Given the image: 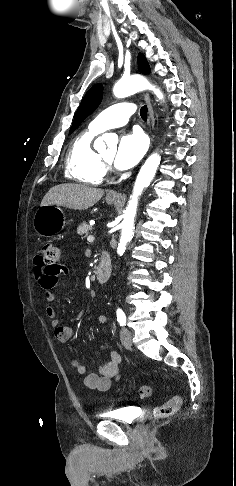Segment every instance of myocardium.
<instances>
[{
	"label": "myocardium",
	"instance_id": "f54148a6",
	"mask_svg": "<svg viewBox=\"0 0 236 486\" xmlns=\"http://www.w3.org/2000/svg\"><path fill=\"white\" fill-rule=\"evenodd\" d=\"M100 160L105 169H107L110 166V161L105 160L102 156H100Z\"/></svg>",
	"mask_w": 236,
	"mask_h": 486
}]
</instances>
